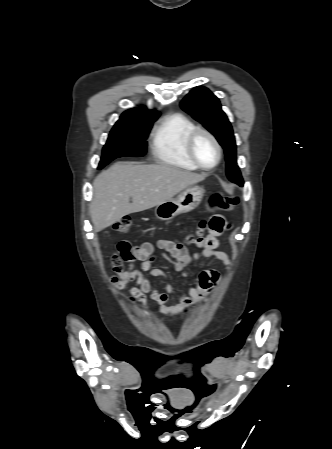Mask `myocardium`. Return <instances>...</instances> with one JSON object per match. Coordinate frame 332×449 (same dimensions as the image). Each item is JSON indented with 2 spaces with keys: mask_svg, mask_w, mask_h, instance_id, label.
Returning a JSON list of instances; mask_svg holds the SVG:
<instances>
[{
  "mask_svg": "<svg viewBox=\"0 0 332 449\" xmlns=\"http://www.w3.org/2000/svg\"><path fill=\"white\" fill-rule=\"evenodd\" d=\"M199 135H205L206 137H208L212 143L214 144L216 151H217V159L214 162V164L210 165V166H206L203 165L199 159L197 158L196 154H195V150H194V144L195 141L197 139V137ZM186 152L188 157L190 158V160L200 169L202 170H212L215 167L218 166V164L221 161L222 158V147L219 143V141L217 140V138L215 137V135L210 132L209 130L202 128V127H196L194 128L187 136L186 138Z\"/></svg>",
  "mask_w": 332,
  "mask_h": 449,
  "instance_id": "f54148a6",
  "label": "myocardium"
}]
</instances>
